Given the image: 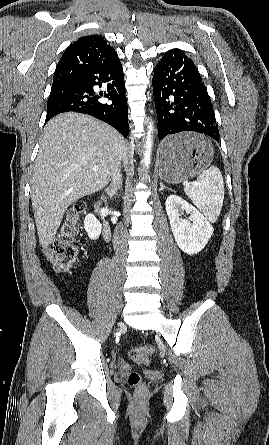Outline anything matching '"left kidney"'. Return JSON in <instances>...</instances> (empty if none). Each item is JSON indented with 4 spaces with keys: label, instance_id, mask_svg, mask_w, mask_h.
<instances>
[{
    "label": "left kidney",
    "instance_id": "5707ae66",
    "mask_svg": "<svg viewBox=\"0 0 269 445\" xmlns=\"http://www.w3.org/2000/svg\"><path fill=\"white\" fill-rule=\"evenodd\" d=\"M171 230L178 247L189 255L197 254L213 235V227L191 204L176 195H170L165 203ZM190 214L188 219L182 215Z\"/></svg>",
    "mask_w": 269,
    "mask_h": 445
}]
</instances>
